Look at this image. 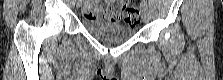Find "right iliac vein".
Wrapping results in <instances>:
<instances>
[{
	"mask_svg": "<svg viewBox=\"0 0 223 80\" xmlns=\"http://www.w3.org/2000/svg\"><path fill=\"white\" fill-rule=\"evenodd\" d=\"M80 6H81V3H80V2H78V3H77V7H80Z\"/></svg>",
	"mask_w": 223,
	"mask_h": 80,
	"instance_id": "obj_1",
	"label": "right iliac vein"
}]
</instances>
